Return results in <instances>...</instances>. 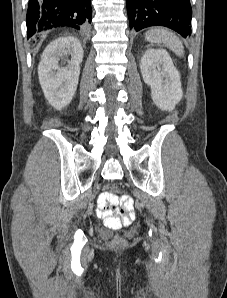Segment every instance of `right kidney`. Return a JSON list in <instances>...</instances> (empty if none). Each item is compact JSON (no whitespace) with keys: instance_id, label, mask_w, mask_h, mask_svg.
Instances as JSON below:
<instances>
[{"instance_id":"obj_1","label":"right kidney","mask_w":227,"mask_h":298,"mask_svg":"<svg viewBox=\"0 0 227 298\" xmlns=\"http://www.w3.org/2000/svg\"><path fill=\"white\" fill-rule=\"evenodd\" d=\"M82 59L81 43L71 36L55 39L44 50L38 66L39 81L48 103L55 109L61 110L71 102Z\"/></svg>"}]
</instances>
